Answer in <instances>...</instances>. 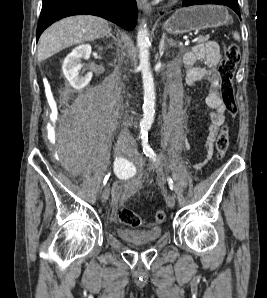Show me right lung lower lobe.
<instances>
[{
    "instance_id": "obj_1",
    "label": "right lung lower lobe",
    "mask_w": 267,
    "mask_h": 298,
    "mask_svg": "<svg viewBox=\"0 0 267 298\" xmlns=\"http://www.w3.org/2000/svg\"><path fill=\"white\" fill-rule=\"evenodd\" d=\"M137 13L136 0H43L36 37L55 21L78 14L96 15L132 30Z\"/></svg>"
}]
</instances>
